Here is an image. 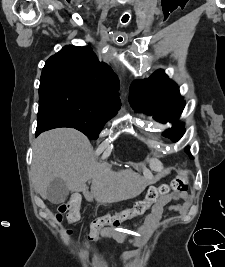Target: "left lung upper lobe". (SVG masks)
Returning <instances> with one entry per match:
<instances>
[{
  "mask_svg": "<svg viewBox=\"0 0 225 267\" xmlns=\"http://www.w3.org/2000/svg\"><path fill=\"white\" fill-rule=\"evenodd\" d=\"M129 102L137 111L153 115L161 123L175 122L185 106L177 84L163 70H157L147 79L134 81L130 87ZM184 132V125L180 124L166 130L163 135L177 142ZM185 151L193 159L189 146Z\"/></svg>",
  "mask_w": 225,
  "mask_h": 267,
  "instance_id": "1",
  "label": "left lung upper lobe"
}]
</instances>
